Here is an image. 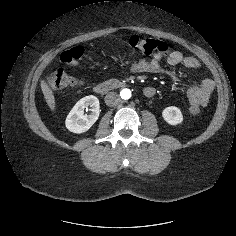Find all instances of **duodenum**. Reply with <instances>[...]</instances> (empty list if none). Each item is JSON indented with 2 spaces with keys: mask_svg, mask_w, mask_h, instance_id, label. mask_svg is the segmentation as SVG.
I'll return each mask as SVG.
<instances>
[{
  "mask_svg": "<svg viewBox=\"0 0 236 236\" xmlns=\"http://www.w3.org/2000/svg\"><path fill=\"white\" fill-rule=\"evenodd\" d=\"M125 83L119 80H105L94 85V91L98 94H106L113 90L123 88Z\"/></svg>",
  "mask_w": 236,
  "mask_h": 236,
  "instance_id": "410a0bca",
  "label": "duodenum"
}]
</instances>
